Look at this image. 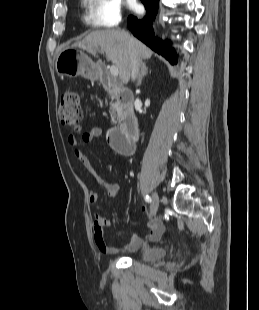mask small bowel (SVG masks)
Wrapping results in <instances>:
<instances>
[{
    "instance_id": "obj_1",
    "label": "small bowel",
    "mask_w": 259,
    "mask_h": 310,
    "mask_svg": "<svg viewBox=\"0 0 259 310\" xmlns=\"http://www.w3.org/2000/svg\"><path fill=\"white\" fill-rule=\"evenodd\" d=\"M102 134V129L100 127H93L91 130L84 132L81 135V142L92 143L94 140L99 138ZM68 143L72 147L73 154L77 160L84 166L87 174L92 177L99 186H101L109 196H117L121 190V185L119 183H112L103 180L96 172L90 159L82 152L80 149L79 141L73 135L68 136ZM89 202L95 203L98 199L96 192H91L89 194ZM141 212H145V207H141ZM111 220L103 215L95 214L93 216V233L94 240L98 250L107 255L116 254L118 252H133L137 250L145 242H157L163 232V226L159 221L151 222L146 233L141 236L137 233L131 235V237L122 244H109L106 242L104 237V228L110 226Z\"/></svg>"
}]
</instances>
